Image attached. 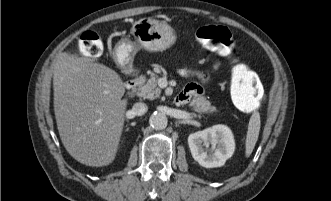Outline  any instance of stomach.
Returning a JSON list of instances; mask_svg holds the SVG:
<instances>
[{"label": "stomach", "mask_w": 331, "mask_h": 201, "mask_svg": "<svg viewBox=\"0 0 331 201\" xmlns=\"http://www.w3.org/2000/svg\"><path fill=\"white\" fill-rule=\"evenodd\" d=\"M134 40L122 38L115 46L117 62L128 67L140 48L150 52H160L170 48L176 41L173 29L165 22L141 18L131 28Z\"/></svg>", "instance_id": "0dacf381"}]
</instances>
